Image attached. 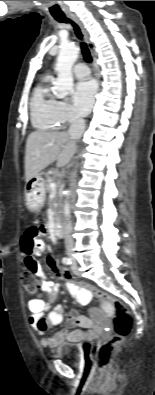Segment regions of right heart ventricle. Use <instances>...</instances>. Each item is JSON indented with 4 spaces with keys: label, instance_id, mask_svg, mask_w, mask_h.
<instances>
[{
    "label": "right heart ventricle",
    "instance_id": "right-heart-ventricle-1",
    "mask_svg": "<svg viewBox=\"0 0 155 395\" xmlns=\"http://www.w3.org/2000/svg\"><path fill=\"white\" fill-rule=\"evenodd\" d=\"M50 80L48 75L41 78L30 101L31 121L39 130H55L61 127L56 115L58 101L51 92Z\"/></svg>",
    "mask_w": 155,
    "mask_h": 395
}]
</instances>
